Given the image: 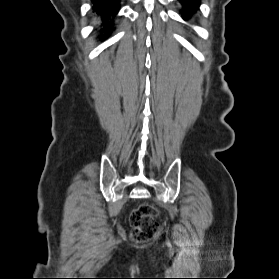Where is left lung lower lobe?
I'll return each mask as SVG.
<instances>
[{
	"mask_svg": "<svg viewBox=\"0 0 279 279\" xmlns=\"http://www.w3.org/2000/svg\"><path fill=\"white\" fill-rule=\"evenodd\" d=\"M183 5L182 16L187 20L200 5V0H179Z\"/></svg>",
	"mask_w": 279,
	"mask_h": 279,
	"instance_id": "obj_1",
	"label": "left lung lower lobe"
}]
</instances>
